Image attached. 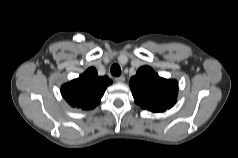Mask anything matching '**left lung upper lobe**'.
Here are the masks:
<instances>
[{"mask_svg": "<svg viewBox=\"0 0 238 158\" xmlns=\"http://www.w3.org/2000/svg\"><path fill=\"white\" fill-rule=\"evenodd\" d=\"M135 102L152 112H164L176 102L178 82L161 78L149 66L139 68L130 79Z\"/></svg>", "mask_w": 238, "mask_h": 158, "instance_id": "left-lung-upper-lobe-1", "label": "left lung upper lobe"}]
</instances>
